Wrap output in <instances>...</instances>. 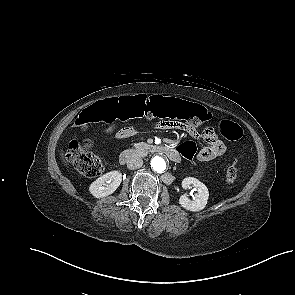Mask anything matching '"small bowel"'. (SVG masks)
<instances>
[{
  "label": "small bowel",
  "mask_w": 295,
  "mask_h": 295,
  "mask_svg": "<svg viewBox=\"0 0 295 295\" xmlns=\"http://www.w3.org/2000/svg\"><path fill=\"white\" fill-rule=\"evenodd\" d=\"M154 125L159 126L161 129L179 130L182 134L190 138L199 139L201 137L206 143V146L196 153V158L201 162L214 160L225 153L226 147L224 143L217 138L212 128H207L201 133L183 121H172L169 119H155ZM135 132L136 129L132 126L119 129L114 126L106 128V133L114 135L119 140L130 138Z\"/></svg>",
  "instance_id": "1"
}]
</instances>
